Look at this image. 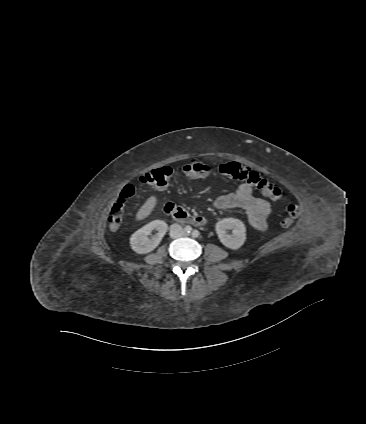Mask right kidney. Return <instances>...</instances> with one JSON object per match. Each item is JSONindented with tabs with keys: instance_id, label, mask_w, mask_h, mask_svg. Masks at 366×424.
Returning <instances> with one entry per match:
<instances>
[{
	"instance_id": "obj_1",
	"label": "right kidney",
	"mask_w": 366,
	"mask_h": 424,
	"mask_svg": "<svg viewBox=\"0 0 366 424\" xmlns=\"http://www.w3.org/2000/svg\"><path fill=\"white\" fill-rule=\"evenodd\" d=\"M168 225L162 220H154L146 224L141 229L137 230L130 237V244L133 251L138 254H147L153 251L161 242L162 238L166 234ZM153 230H157L158 233L153 239H148V235Z\"/></svg>"
}]
</instances>
